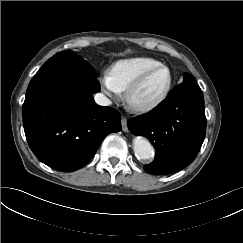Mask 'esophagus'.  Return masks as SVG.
<instances>
[{"label": "esophagus", "mask_w": 243, "mask_h": 243, "mask_svg": "<svg viewBox=\"0 0 243 243\" xmlns=\"http://www.w3.org/2000/svg\"><path fill=\"white\" fill-rule=\"evenodd\" d=\"M127 121H128V119L126 117L121 118L122 130L124 132H128Z\"/></svg>", "instance_id": "34e87169"}]
</instances>
